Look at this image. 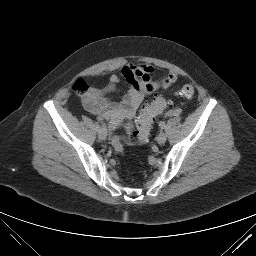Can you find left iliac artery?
<instances>
[{"mask_svg":"<svg viewBox=\"0 0 256 256\" xmlns=\"http://www.w3.org/2000/svg\"><path fill=\"white\" fill-rule=\"evenodd\" d=\"M159 126H160L161 129H164L165 128V123L164 122H160Z\"/></svg>","mask_w":256,"mask_h":256,"instance_id":"1","label":"left iliac artery"}]
</instances>
